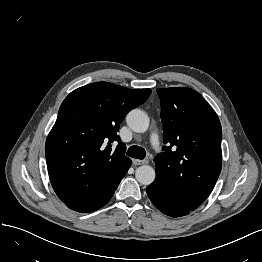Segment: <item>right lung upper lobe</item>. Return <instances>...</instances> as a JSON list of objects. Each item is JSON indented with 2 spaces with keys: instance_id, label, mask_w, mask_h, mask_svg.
Masks as SVG:
<instances>
[{
  "instance_id": "cb5924a9",
  "label": "right lung upper lobe",
  "mask_w": 262,
  "mask_h": 262,
  "mask_svg": "<svg viewBox=\"0 0 262 262\" xmlns=\"http://www.w3.org/2000/svg\"><path fill=\"white\" fill-rule=\"evenodd\" d=\"M150 94V89L96 82L65 98L45 144L50 181L62 202L99 203L115 192L131 165L119 126ZM114 141L119 144L112 151Z\"/></svg>"
}]
</instances>
